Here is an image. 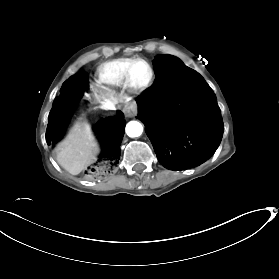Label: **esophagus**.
<instances>
[{
  "instance_id": "34e87169",
  "label": "esophagus",
  "mask_w": 279,
  "mask_h": 279,
  "mask_svg": "<svg viewBox=\"0 0 279 279\" xmlns=\"http://www.w3.org/2000/svg\"><path fill=\"white\" fill-rule=\"evenodd\" d=\"M123 111L126 117H134L137 115V105L135 103L128 104Z\"/></svg>"
}]
</instances>
